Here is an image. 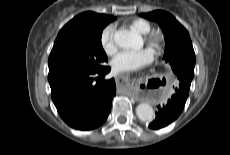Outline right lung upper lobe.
<instances>
[{
    "mask_svg": "<svg viewBox=\"0 0 230 155\" xmlns=\"http://www.w3.org/2000/svg\"><path fill=\"white\" fill-rule=\"evenodd\" d=\"M116 18L110 15L83 12L69 21L59 32L57 37L86 36L96 32L104 24H109Z\"/></svg>",
    "mask_w": 230,
    "mask_h": 155,
    "instance_id": "cb5924a9",
    "label": "right lung upper lobe"
}]
</instances>
